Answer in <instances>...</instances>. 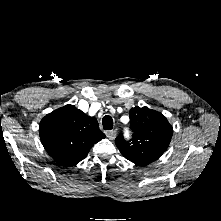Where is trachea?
I'll list each match as a JSON object with an SVG mask.
<instances>
[{
    "mask_svg": "<svg viewBox=\"0 0 221 221\" xmlns=\"http://www.w3.org/2000/svg\"><path fill=\"white\" fill-rule=\"evenodd\" d=\"M103 128L106 130H111L113 128V119L111 116L106 115L102 119Z\"/></svg>",
    "mask_w": 221,
    "mask_h": 221,
    "instance_id": "3493384b",
    "label": "trachea"
}]
</instances>
